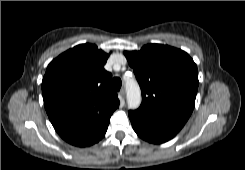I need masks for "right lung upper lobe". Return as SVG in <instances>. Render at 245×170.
<instances>
[{"label":"right lung upper lobe","instance_id":"1","mask_svg":"<svg viewBox=\"0 0 245 170\" xmlns=\"http://www.w3.org/2000/svg\"><path fill=\"white\" fill-rule=\"evenodd\" d=\"M109 55L93 44H81L59 55L42 80L43 100L57 133L68 143L84 147L106 133L119 107L104 69Z\"/></svg>","mask_w":245,"mask_h":170}]
</instances>
